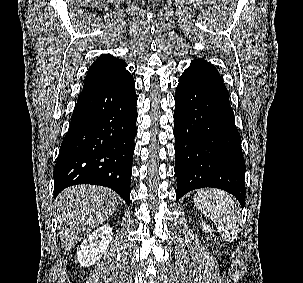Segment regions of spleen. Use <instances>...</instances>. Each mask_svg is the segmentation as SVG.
Here are the masks:
<instances>
[{"mask_svg": "<svg viewBox=\"0 0 303 283\" xmlns=\"http://www.w3.org/2000/svg\"><path fill=\"white\" fill-rule=\"evenodd\" d=\"M194 204L214 222L223 240L231 242L237 238L240 212L229 194L217 189H201L194 196Z\"/></svg>", "mask_w": 303, "mask_h": 283, "instance_id": "spleen-1", "label": "spleen"}]
</instances>
